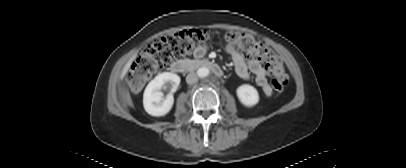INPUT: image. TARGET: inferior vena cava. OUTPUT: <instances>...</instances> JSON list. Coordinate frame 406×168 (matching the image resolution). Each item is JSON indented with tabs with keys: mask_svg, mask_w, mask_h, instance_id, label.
<instances>
[{
	"mask_svg": "<svg viewBox=\"0 0 406 168\" xmlns=\"http://www.w3.org/2000/svg\"><path fill=\"white\" fill-rule=\"evenodd\" d=\"M196 81H197V75L195 73L191 72L186 76V82L188 84H194Z\"/></svg>",
	"mask_w": 406,
	"mask_h": 168,
	"instance_id": "602c4592",
	"label": "inferior vena cava"
}]
</instances>
